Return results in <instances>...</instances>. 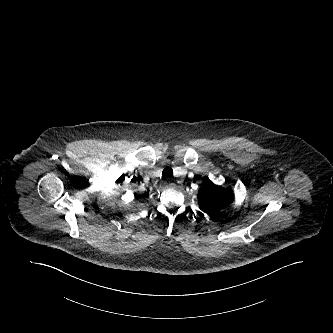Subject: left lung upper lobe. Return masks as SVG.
I'll list each match as a JSON object with an SVG mask.
<instances>
[{
    "instance_id": "1",
    "label": "left lung upper lobe",
    "mask_w": 333,
    "mask_h": 333,
    "mask_svg": "<svg viewBox=\"0 0 333 333\" xmlns=\"http://www.w3.org/2000/svg\"><path fill=\"white\" fill-rule=\"evenodd\" d=\"M198 204L203 215L215 217L234 200L231 188H223L206 178L197 194Z\"/></svg>"
}]
</instances>
